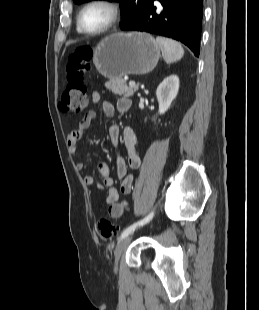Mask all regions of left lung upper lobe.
I'll return each mask as SVG.
<instances>
[{"label": "left lung upper lobe", "mask_w": 259, "mask_h": 310, "mask_svg": "<svg viewBox=\"0 0 259 310\" xmlns=\"http://www.w3.org/2000/svg\"><path fill=\"white\" fill-rule=\"evenodd\" d=\"M77 4L89 2L91 0H73ZM120 2L122 8L121 25L133 20L139 16L150 0H108Z\"/></svg>", "instance_id": "5c2ea615"}]
</instances>
